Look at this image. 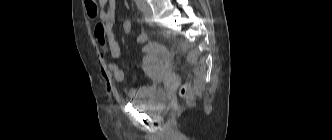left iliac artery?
<instances>
[{"label":"left iliac artery","mask_w":332,"mask_h":140,"mask_svg":"<svg viewBox=\"0 0 332 140\" xmlns=\"http://www.w3.org/2000/svg\"><path fill=\"white\" fill-rule=\"evenodd\" d=\"M137 7L142 10L143 9V0H135Z\"/></svg>","instance_id":"1"}]
</instances>
